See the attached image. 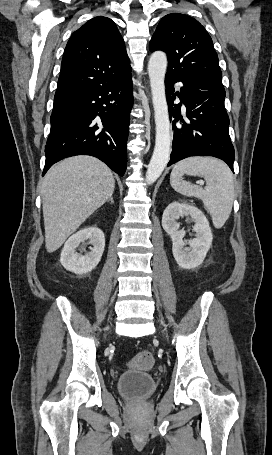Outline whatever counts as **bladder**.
<instances>
[{
	"mask_svg": "<svg viewBox=\"0 0 272 455\" xmlns=\"http://www.w3.org/2000/svg\"><path fill=\"white\" fill-rule=\"evenodd\" d=\"M116 388L124 399L142 400L147 399L154 394L156 382L149 373L138 370H128L118 377Z\"/></svg>",
	"mask_w": 272,
	"mask_h": 455,
	"instance_id": "1",
	"label": "bladder"
}]
</instances>
